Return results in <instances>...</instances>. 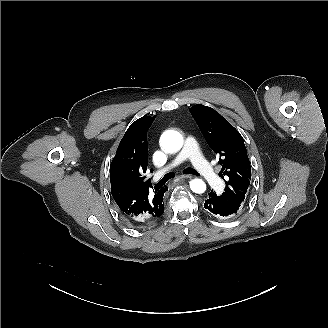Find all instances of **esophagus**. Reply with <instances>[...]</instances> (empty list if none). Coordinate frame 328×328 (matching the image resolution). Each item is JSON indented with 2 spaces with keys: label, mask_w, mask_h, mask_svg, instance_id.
Returning <instances> with one entry per match:
<instances>
[{
  "label": "esophagus",
  "mask_w": 328,
  "mask_h": 328,
  "mask_svg": "<svg viewBox=\"0 0 328 328\" xmlns=\"http://www.w3.org/2000/svg\"><path fill=\"white\" fill-rule=\"evenodd\" d=\"M191 175H180L178 178L183 179V178H191Z\"/></svg>",
  "instance_id": "34e87169"
}]
</instances>
